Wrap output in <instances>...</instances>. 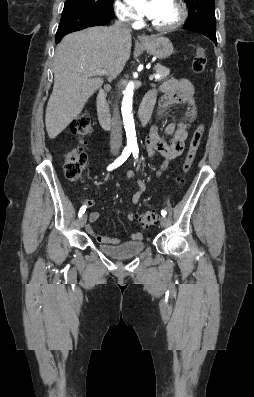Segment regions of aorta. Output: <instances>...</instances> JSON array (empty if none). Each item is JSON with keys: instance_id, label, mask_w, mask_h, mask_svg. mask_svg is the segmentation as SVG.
<instances>
[{"instance_id": "762f6f07", "label": "aorta", "mask_w": 254, "mask_h": 397, "mask_svg": "<svg viewBox=\"0 0 254 397\" xmlns=\"http://www.w3.org/2000/svg\"><path fill=\"white\" fill-rule=\"evenodd\" d=\"M133 90H134V85L132 82H130L124 91V97L122 100V108H121L128 147L137 146L135 124L132 113Z\"/></svg>"}]
</instances>
